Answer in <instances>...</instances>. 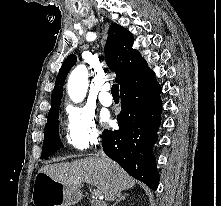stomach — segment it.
<instances>
[{
    "mask_svg": "<svg viewBox=\"0 0 221 206\" xmlns=\"http://www.w3.org/2000/svg\"><path fill=\"white\" fill-rule=\"evenodd\" d=\"M81 199L78 188L38 173L32 193L34 206H71Z\"/></svg>",
    "mask_w": 221,
    "mask_h": 206,
    "instance_id": "stomach-1",
    "label": "stomach"
}]
</instances>
